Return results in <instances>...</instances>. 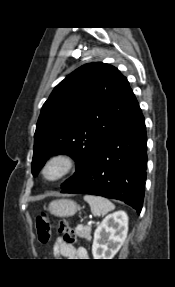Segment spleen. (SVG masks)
Here are the masks:
<instances>
[{
    "mask_svg": "<svg viewBox=\"0 0 175 287\" xmlns=\"http://www.w3.org/2000/svg\"><path fill=\"white\" fill-rule=\"evenodd\" d=\"M84 200L90 205L91 212L95 216H104L115 209L111 201L101 196L85 195Z\"/></svg>",
    "mask_w": 175,
    "mask_h": 287,
    "instance_id": "spleen-1",
    "label": "spleen"
}]
</instances>
